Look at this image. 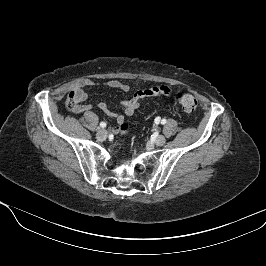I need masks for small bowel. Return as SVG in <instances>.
Wrapping results in <instances>:
<instances>
[{"label":"small bowel","mask_w":266,"mask_h":266,"mask_svg":"<svg viewBox=\"0 0 266 266\" xmlns=\"http://www.w3.org/2000/svg\"><path fill=\"white\" fill-rule=\"evenodd\" d=\"M95 83L91 79H82L78 81L72 88V92L76 95V105L72 109V111L76 114L85 113L91 110L92 106L86 103L88 95L85 91V88L94 86ZM106 85L113 89H118L124 92L129 91V85L118 81L111 80L106 83ZM172 94L171 89L168 86H154L144 90H140L136 92L133 97L122 101L121 105L123 107V114L113 113L108 105L104 102L98 104V108L104 112L105 114L114 117L118 123L122 124L124 122L125 117H133L135 115L136 110L139 107V100L143 97H153V96H163L170 97ZM114 133H118L120 131L119 126L114 127L112 129Z\"/></svg>","instance_id":"obj_1"}]
</instances>
